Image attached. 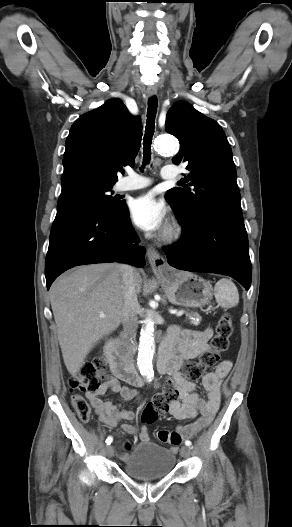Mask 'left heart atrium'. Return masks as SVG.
I'll use <instances>...</instances> for the list:
<instances>
[{
	"instance_id": "1",
	"label": "left heart atrium",
	"mask_w": 292,
	"mask_h": 527,
	"mask_svg": "<svg viewBox=\"0 0 292 527\" xmlns=\"http://www.w3.org/2000/svg\"><path fill=\"white\" fill-rule=\"evenodd\" d=\"M130 211L134 223L145 231H159L165 225L166 210L152 194L137 197L132 202Z\"/></svg>"
}]
</instances>
